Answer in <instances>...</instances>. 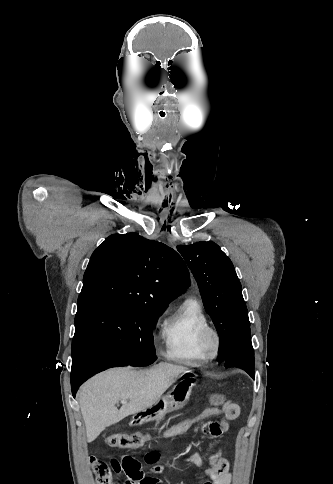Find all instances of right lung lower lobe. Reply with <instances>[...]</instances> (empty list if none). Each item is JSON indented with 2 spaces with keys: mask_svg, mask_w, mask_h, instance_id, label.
Here are the masks:
<instances>
[{
  "mask_svg": "<svg viewBox=\"0 0 333 484\" xmlns=\"http://www.w3.org/2000/svg\"><path fill=\"white\" fill-rule=\"evenodd\" d=\"M118 350L93 336H85L72 356L71 388L75 397L78 387L89 377L107 368L127 366Z\"/></svg>",
  "mask_w": 333,
  "mask_h": 484,
  "instance_id": "right-lung-lower-lobe-1",
  "label": "right lung lower lobe"
}]
</instances>
